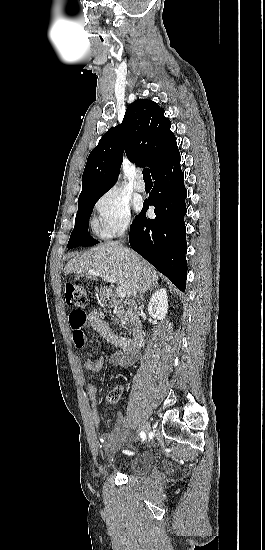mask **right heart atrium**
<instances>
[{
	"mask_svg": "<svg viewBox=\"0 0 265 550\" xmlns=\"http://www.w3.org/2000/svg\"><path fill=\"white\" fill-rule=\"evenodd\" d=\"M95 210L99 216L97 229L105 238L124 233L131 226L130 203L115 188L96 201Z\"/></svg>",
	"mask_w": 265,
	"mask_h": 550,
	"instance_id": "obj_1",
	"label": "right heart atrium"
}]
</instances>
